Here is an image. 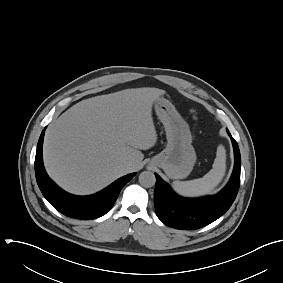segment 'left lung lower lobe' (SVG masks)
Masks as SVG:
<instances>
[{
    "label": "left lung lower lobe",
    "instance_id": "obj_1",
    "mask_svg": "<svg viewBox=\"0 0 283 283\" xmlns=\"http://www.w3.org/2000/svg\"><path fill=\"white\" fill-rule=\"evenodd\" d=\"M227 132L234 148V169L228 184L218 194L198 199L183 198L155 174L154 206L165 225L181 230L198 229L212 223L230 208L240 186L241 156L237 142Z\"/></svg>",
    "mask_w": 283,
    "mask_h": 283
}]
</instances>
